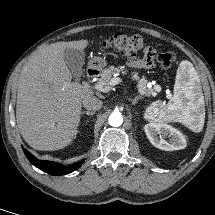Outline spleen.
Here are the masks:
<instances>
[{"label": "spleen", "mask_w": 215, "mask_h": 215, "mask_svg": "<svg viewBox=\"0 0 215 215\" xmlns=\"http://www.w3.org/2000/svg\"><path fill=\"white\" fill-rule=\"evenodd\" d=\"M198 76L192 63L181 61L177 70L174 95L164 104L152 103L145 112V118L154 122H179L195 132H200L204 125V97L197 89Z\"/></svg>", "instance_id": "3e777b00"}]
</instances>
